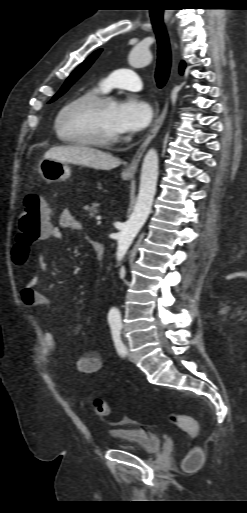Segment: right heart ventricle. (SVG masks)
Here are the masks:
<instances>
[{"label":"right heart ventricle","instance_id":"e07e8e85","mask_svg":"<svg viewBox=\"0 0 247 513\" xmlns=\"http://www.w3.org/2000/svg\"><path fill=\"white\" fill-rule=\"evenodd\" d=\"M97 93H100V89L97 88V87H93V88H90L88 90H86L85 92H83L82 95H87V94H97ZM81 95V96H82ZM59 135V134H58ZM59 137L65 141V142H69L71 143V141L68 139V137L64 134L63 136L62 135H59Z\"/></svg>","mask_w":247,"mask_h":513}]
</instances>
